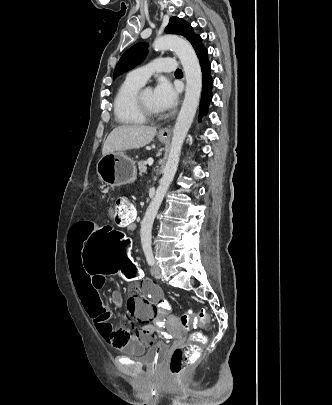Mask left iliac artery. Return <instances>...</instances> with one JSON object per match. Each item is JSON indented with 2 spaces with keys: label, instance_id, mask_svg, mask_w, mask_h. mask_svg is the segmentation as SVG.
I'll use <instances>...</instances> for the list:
<instances>
[{
  "label": "left iliac artery",
  "instance_id": "obj_1",
  "mask_svg": "<svg viewBox=\"0 0 332 405\" xmlns=\"http://www.w3.org/2000/svg\"><path fill=\"white\" fill-rule=\"evenodd\" d=\"M144 253H145V256H146L147 263L149 265H151V266L154 265V256H153L152 248L151 247H145L144 248Z\"/></svg>",
  "mask_w": 332,
  "mask_h": 405
}]
</instances>
